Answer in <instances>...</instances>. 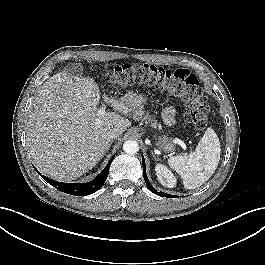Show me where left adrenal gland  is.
Wrapping results in <instances>:
<instances>
[{
    "instance_id": "a2214340",
    "label": "left adrenal gland",
    "mask_w": 265,
    "mask_h": 265,
    "mask_svg": "<svg viewBox=\"0 0 265 265\" xmlns=\"http://www.w3.org/2000/svg\"><path fill=\"white\" fill-rule=\"evenodd\" d=\"M152 155H153L154 159L156 160L157 158H156V156L154 155V153H153V152H152Z\"/></svg>"
}]
</instances>
